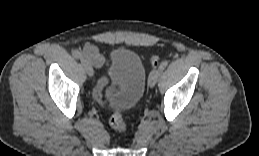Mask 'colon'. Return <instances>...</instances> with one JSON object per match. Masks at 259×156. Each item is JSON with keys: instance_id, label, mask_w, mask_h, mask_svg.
<instances>
[{"instance_id": "obj_1", "label": "colon", "mask_w": 259, "mask_h": 156, "mask_svg": "<svg viewBox=\"0 0 259 156\" xmlns=\"http://www.w3.org/2000/svg\"><path fill=\"white\" fill-rule=\"evenodd\" d=\"M159 62V58L157 56H153L150 58V63L153 65V66H156ZM110 126L119 131V132H126L127 130V127H126V124L123 120V113L119 110L115 111L111 117H110Z\"/></svg>"}]
</instances>
